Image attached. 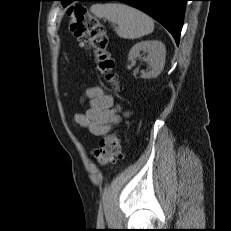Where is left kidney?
Instances as JSON below:
<instances>
[{"label":"left kidney","mask_w":231,"mask_h":231,"mask_svg":"<svg viewBox=\"0 0 231 231\" xmlns=\"http://www.w3.org/2000/svg\"><path fill=\"white\" fill-rule=\"evenodd\" d=\"M147 53L146 61L149 63L148 72H142L141 77L145 79L157 77L164 68L166 49L161 41L147 40L136 43L128 54V61H133L140 52Z\"/></svg>","instance_id":"5707ae66"}]
</instances>
